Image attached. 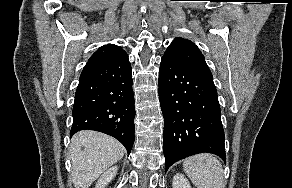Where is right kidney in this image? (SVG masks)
<instances>
[{
  "mask_svg": "<svg viewBox=\"0 0 292 188\" xmlns=\"http://www.w3.org/2000/svg\"><path fill=\"white\" fill-rule=\"evenodd\" d=\"M118 167L114 166L105 171L96 182L95 188H105L116 176Z\"/></svg>",
  "mask_w": 292,
  "mask_h": 188,
  "instance_id": "ca27d5eb",
  "label": "right kidney"
}]
</instances>
